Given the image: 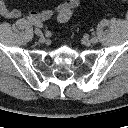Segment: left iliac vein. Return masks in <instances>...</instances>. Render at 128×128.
Wrapping results in <instances>:
<instances>
[{
	"label": "left iliac vein",
	"mask_w": 128,
	"mask_h": 128,
	"mask_svg": "<svg viewBox=\"0 0 128 128\" xmlns=\"http://www.w3.org/2000/svg\"><path fill=\"white\" fill-rule=\"evenodd\" d=\"M82 42L85 46H90L92 44V41L88 38H83Z\"/></svg>",
	"instance_id": "obj_1"
}]
</instances>
